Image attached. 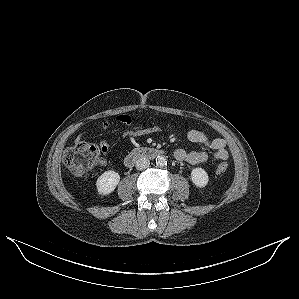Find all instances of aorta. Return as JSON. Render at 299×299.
<instances>
[{
	"mask_svg": "<svg viewBox=\"0 0 299 299\" xmlns=\"http://www.w3.org/2000/svg\"><path fill=\"white\" fill-rule=\"evenodd\" d=\"M156 165L158 167H164L167 165V159L164 156H157Z\"/></svg>",
	"mask_w": 299,
	"mask_h": 299,
	"instance_id": "1",
	"label": "aorta"
}]
</instances>
